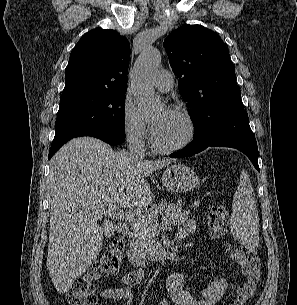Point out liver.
<instances>
[{"instance_id": "1", "label": "liver", "mask_w": 297, "mask_h": 305, "mask_svg": "<svg viewBox=\"0 0 297 305\" xmlns=\"http://www.w3.org/2000/svg\"><path fill=\"white\" fill-rule=\"evenodd\" d=\"M173 161L135 159L92 137L72 139L53 156L47 270L58 293L71 289L96 260L103 236L115 232L110 220L99 225V209L148 206L152 194L145 178Z\"/></svg>"}]
</instances>
